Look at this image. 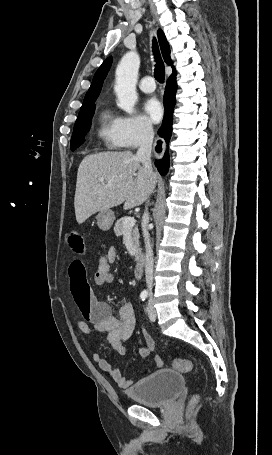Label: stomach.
<instances>
[{
    "mask_svg": "<svg viewBox=\"0 0 272 455\" xmlns=\"http://www.w3.org/2000/svg\"><path fill=\"white\" fill-rule=\"evenodd\" d=\"M114 219L115 216L112 210L108 209L100 211L99 214L97 215L98 227L103 231H108L111 228Z\"/></svg>",
    "mask_w": 272,
    "mask_h": 455,
    "instance_id": "obj_1",
    "label": "stomach"
}]
</instances>
